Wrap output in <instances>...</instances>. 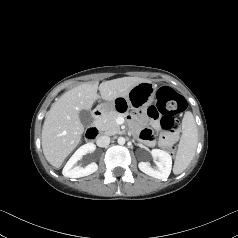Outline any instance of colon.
Listing matches in <instances>:
<instances>
[{"instance_id":"1","label":"colon","mask_w":238,"mask_h":238,"mask_svg":"<svg viewBox=\"0 0 238 238\" xmlns=\"http://www.w3.org/2000/svg\"><path fill=\"white\" fill-rule=\"evenodd\" d=\"M156 98L157 101L153 107H155L157 113L163 117L161 127L164 131V135L160 139V145L170 153H173L175 148L173 138L179 128V122L176 116L186 109V100L168 86L159 88Z\"/></svg>"}]
</instances>
